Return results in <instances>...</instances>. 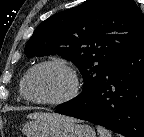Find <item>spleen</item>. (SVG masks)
Returning a JSON list of instances; mask_svg holds the SVG:
<instances>
[{
	"instance_id": "3e777b00",
	"label": "spleen",
	"mask_w": 144,
	"mask_h": 137,
	"mask_svg": "<svg viewBox=\"0 0 144 137\" xmlns=\"http://www.w3.org/2000/svg\"><path fill=\"white\" fill-rule=\"evenodd\" d=\"M97 132L99 137H112L111 133L104 127L97 126Z\"/></svg>"
}]
</instances>
